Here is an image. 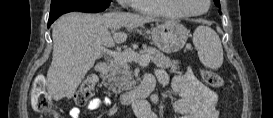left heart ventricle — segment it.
Masks as SVG:
<instances>
[{
	"instance_id": "1",
	"label": "left heart ventricle",
	"mask_w": 273,
	"mask_h": 118,
	"mask_svg": "<svg viewBox=\"0 0 273 118\" xmlns=\"http://www.w3.org/2000/svg\"><path fill=\"white\" fill-rule=\"evenodd\" d=\"M190 11H202L206 8L204 0H183Z\"/></svg>"
}]
</instances>
